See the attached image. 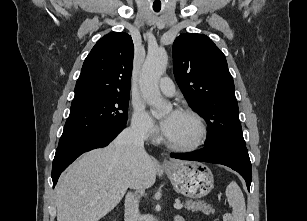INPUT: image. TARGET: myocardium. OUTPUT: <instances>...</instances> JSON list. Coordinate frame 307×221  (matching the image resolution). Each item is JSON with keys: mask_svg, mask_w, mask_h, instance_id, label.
I'll list each match as a JSON object with an SVG mask.
<instances>
[{"mask_svg": "<svg viewBox=\"0 0 307 221\" xmlns=\"http://www.w3.org/2000/svg\"><path fill=\"white\" fill-rule=\"evenodd\" d=\"M179 113L186 114L192 117L197 122V125L199 128V135L193 142L189 144H183V145L174 144L170 142L167 138H165V144L168 148H170L173 151H177V152L194 151L198 149L199 147H201L207 139V136H208L207 124L205 122V119L197 111L193 109L183 108L179 110Z\"/></svg>", "mask_w": 307, "mask_h": 221, "instance_id": "myocardium-1", "label": "myocardium"}]
</instances>
